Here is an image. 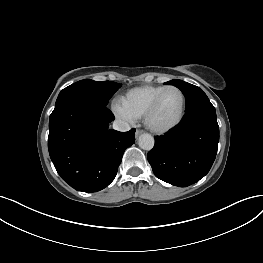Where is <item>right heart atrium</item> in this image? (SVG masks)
<instances>
[{
  "instance_id": "1",
  "label": "right heart atrium",
  "mask_w": 263,
  "mask_h": 263,
  "mask_svg": "<svg viewBox=\"0 0 263 263\" xmlns=\"http://www.w3.org/2000/svg\"><path fill=\"white\" fill-rule=\"evenodd\" d=\"M113 112L114 114L121 120L127 122V123H132L134 122L135 118L130 115L119 103H114L113 104Z\"/></svg>"
}]
</instances>
